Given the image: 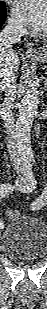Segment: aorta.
<instances>
[{"instance_id":"obj_1","label":"aorta","mask_w":47,"mask_h":309,"mask_svg":"<svg viewBox=\"0 0 47 309\" xmlns=\"http://www.w3.org/2000/svg\"><path fill=\"white\" fill-rule=\"evenodd\" d=\"M38 86V82L34 79L27 81L17 114L15 142L17 152L22 158L33 157L30 134L33 121L38 111Z\"/></svg>"}]
</instances>
